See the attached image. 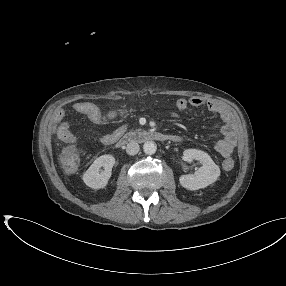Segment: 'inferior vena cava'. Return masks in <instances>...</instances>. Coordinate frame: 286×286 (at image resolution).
<instances>
[{
  "instance_id": "inferior-vena-cava-1",
  "label": "inferior vena cava",
  "mask_w": 286,
  "mask_h": 286,
  "mask_svg": "<svg viewBox=\"0 0 286 286\" xmlns=\"http://www.w3.org/2000/svg\"><path fill=\"white\" fill-rule=\"evenodd\" d=\"M139 144L135 141H131L126 146V152L129 155H136L139 152Z\"/></svg>"
}]
</instances>
